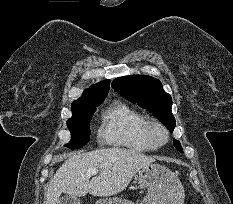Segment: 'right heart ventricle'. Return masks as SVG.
<instances>
[{
	"instance_id": "right-heart-ventricle-1",
	"label": "right heart ventricle",
	"mask_w": 233,
	"mask_h": 204,
	"mask_svg": "<svg viewBox=\"0 0 233 204\" xmlns=\"http://www.w3.org/2000/svg\"><path fill=\"white\" fill-rule=\"evenodd\" d=\"M145 116L124 102L116 101L101 114L98 137L102 143L137 152L155 149L143 136Z\"/></svg>"
}]
</instances>
